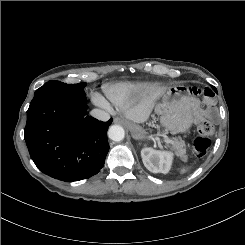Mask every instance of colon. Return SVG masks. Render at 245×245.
Returning <instances> with one entry per match:
<instances>
[{"mask_svg":"<svg viewBox=\"0 0 245 245\" xmlns=\"http://www.w3.org/2000/svg\"><path fill=\"white\" fill-rule=\"evenodd\" d=\"M215 131L214 125L205 119L199 126L198 136L193 141L192 151L196 157H204L210 147V139Z\"/></svg>","mask_w":245,"mask_h":245,"instance_id":"obj_1","label":"colon"}]
</instances>
